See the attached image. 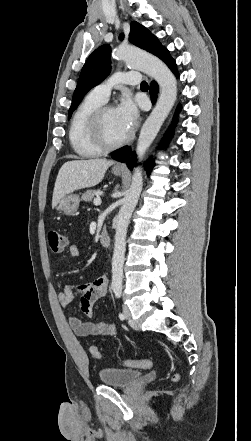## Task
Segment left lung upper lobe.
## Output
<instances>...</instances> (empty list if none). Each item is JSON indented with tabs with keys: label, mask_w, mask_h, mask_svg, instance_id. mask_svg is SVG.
<instances>
[{
	"label": "left lung upper lobe",
	"mask_w": 251,
	"mask_h": 441,
	"mask_svg": "<svg viewBox=\"0 0 251 441\" xmlns=\"http://www.w3.org/2000/svg\"><path fill=\"white\" fill-rule=\"evenodd\" d=\"M123 39V34L120 35ZM129 40L141 49H144L162 59L168 50L163 47L151 32L136 21L130 24ZM111 48L108 44L100 46L87 59L84 64L77 87L74 91L69 116L77 108L86 93L102 82L111 70Z\"/></svg>",
	"instance_id": "1"
}]
</instances>
